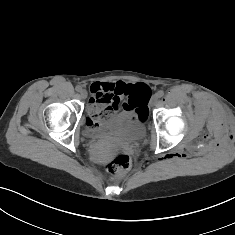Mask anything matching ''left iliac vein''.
<instances>
[{
    "mask_svg": "<svg viewBox=\"0 0 235 235\" xmlns=\"http://www.w3.org/2000/svg\"><path fill=\"white\" fill-rule=\"evenodd\" d=\"M157 101H158V97H157V95L155 94V95H153V96L151 97L150 106H151V107L155 106L156 103H157Z\"/></svg>",
    "mask_w": 235,
    "mask_h": 235,
    "instance_id": "left-iliac-vein-1",
    "label": "left iliac vein"
}]
</instances>
